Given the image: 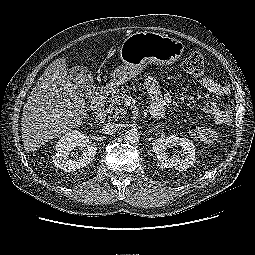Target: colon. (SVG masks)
Returning a JSON list of instances; mask_svg holds the SVG:
<instances>
[{
    "label": "colon",
    "mask_w": 255,
    "mask_h": 255,
    "mask_svg": "<svg viewBox=\"0 0 255 255\" xmlns=\"http://www.w3.org/2000/svg\"><path fill=\"white\" fill-rule=\"evenodd\" d=\"M182 69L191 76L200 75L204 70L203 55L199 52L191 53L182 62ZM188 131L195 139L204 143H213L219 139L217 132L208 127L192 125L189 127Z\"/></svg>",
    "instance_id": "1"
}]
</instances>
